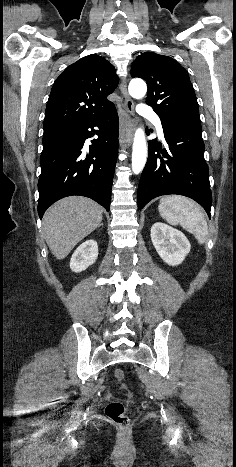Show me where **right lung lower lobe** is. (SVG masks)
Returning <instances> with one entry per match:
<instances>
[{
  "instance_id": "obj_1",
  "label": "right lung lower lobe",
  "mask_w": 236,
  "mask_h": 467,
  "mask_svg": "<svg viewBox=\"0 0 236 467\" xmlns=\"http://www.w3.org/2000/svg\"><path fill=\"white\" fill-rule=\"evenodd\" d=\"M118 123L114 106L83 125L43 136L38 181L40 218L54 202L72 195L89 197L110 210L118 156ZM94 127L99 129L98 139L92 141L86 152L85 139L92 137Z\"/></svg>"
}]
</instances>
